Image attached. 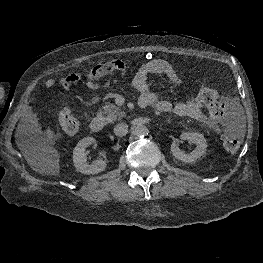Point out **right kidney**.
<instances>
[{
    "label": "right kidney",
    "mask_w": 263,
    "mask_h": 263,
    "mask_svg": "<svg viewBox=\"0 0 263 263\" xmlns=\"http://www.w3.org/2000/svg\"><path fill=\"white\" fill-rule=\"evenodd\" d=\"M90 145H96V140L93 137L83 138L78 142L73 151V162L78 172L83 174H98L106 169V162L96 160L92 164H88L86 157V148Z\"/></svg>",
    "instance_id": "1"
}]
</instances>
